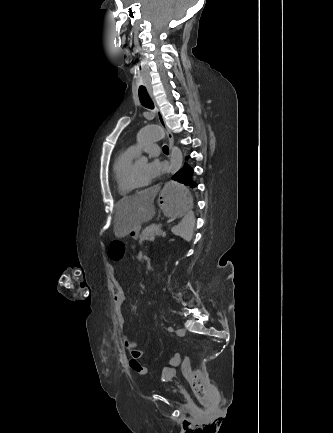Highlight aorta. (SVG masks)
<instances>
[{
	"instance_id": "obj_1",
	"label": "aorta",
	"mask_w": 333,
	"mask_h": 433,
	"mask_svg": "<svg viewBox=\"0 0 333 433\" xmlns=\"http://www.w3.org/2000/svg\"><path fill=\"white\" fill-rule=\"evenodd\" d=\"M166 131L156 125L146 126L140 129L137 134V142L141 145L148 143H156L161 142L166 138ZM183 161V154L181 150L172 146L171 148V157H170V170L171 174H175L181 167ZM148 162V159L144 156L138 157L136 163L138 165H144Z\"/></svg>"
}]
</instances>
